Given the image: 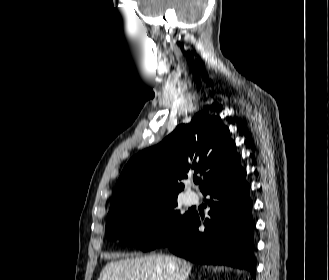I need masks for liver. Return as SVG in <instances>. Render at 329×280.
Segmentation results:
<instances>
[{
	"label": "liver",
	"mask_w": 329,
	"mask_h": 280,
	"mask_svg": "<svg viewBox=\"0 0 329 280\" xmlns=\"http://www.w3.org/2000/svg\"><path fill=\"white\" fill-rule=\"evenodd\" d=\"M192 265L184 259L167 255L125 258L109 262L98 280H187Z\"/></svg>",
	"instance_id": "obj_1"
}]
</instances>
